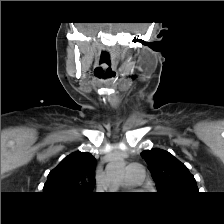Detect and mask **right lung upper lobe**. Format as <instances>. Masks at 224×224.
I'll list each match as a JSON object with an SVG mask.
<instances>
[{
  "label": "right lung upper lobe",
  "mask_w": 224,
  "mask_h": 224,
  "mask_svg": "<svg viewBox=\"0 0 224 224\" xmlns=\"http://www.w3.org/2000/svg\"><path fill=\"white\" fill-rule=\"evenodd\" d=\"M96 159L88 152H73L48 174L44 192L90 194L95 185Z\"/></svg>",
  "instance_id": "cb5924a9"
}]
</instances>
